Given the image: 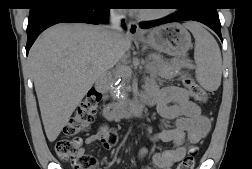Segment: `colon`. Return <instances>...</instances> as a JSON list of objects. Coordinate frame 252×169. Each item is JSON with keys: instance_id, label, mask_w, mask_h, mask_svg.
I'll return each instance as SVG.
<instances>
[{"instance_id": "obj_1", "label": "colon", "mask_w": 252, "mask_h": 169, "mask_svg": "<svg viewBox=\"0 0 252 169\" xmlns=\"http://www.w3.org/2000/svg\"><path fill=\"white\" fill-rule=\"evenodd\" d=\"M183 83L195 101L206 102V91L193 79L185 78ZM100 98L101 94L97 90L90 89L64 127V137L55 143L54 150L57 157L69 163L73 169H90L95 164L93 157L82 152V139L78 134L87 131L93 123ZM108 141L112 145L116 144L117 134L114 130L109 131ZM194 164L195 152H191L178 164L177 169H193Z\"/></svg>"}]
</instances>
